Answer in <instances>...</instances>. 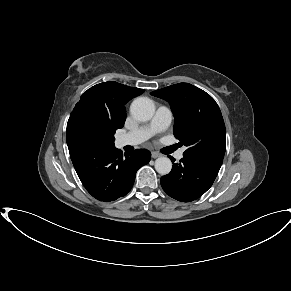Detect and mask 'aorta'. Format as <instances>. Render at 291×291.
Here are the masks:
<instances>
[{"mask_svg":"<svg viewBox=\"0 0 291 291\" xmlns=\"http://www.w3.org/2000/svg\"><path fill=\"white\" fill-rule=\"evenodd\" d=\"M155 112V106L151 99L147 97L136 98L130 106L131 115L138 121H149ZM155 169L161 175L170 173L172 162L168 157H159L155 161Z\"/></svg>","mask_w":291,"mask_h":291,"instance_id":"aorta-1","label":"aorta"}]
</instances>
